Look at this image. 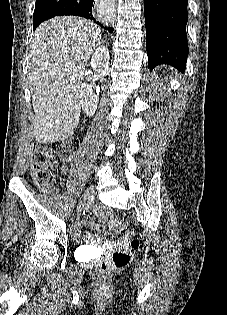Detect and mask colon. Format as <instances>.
<instances>
[{"mask_svg": "<svg viewBox=\"0 0 227 315\" xmlns=\"http://www.w3.org/2000/svg\"><path fill=\"white\" fill-rule=\"evenodd\" d=\"M79 146V139L71 136L48 144L36 143L32 152V177L36 186L45 188L51 174L57 168L71 160ZM111 226L115 233L122 234L130 240V249L115 252L110 259L103 260L97 271L101 276L110 274L115 269L127 266L133 257V252L139 247V240L127 223L120 218H112Z\"/></svg>", "mask_w": 227, "mask_h": 315, "instance_id": "obj_1", "label": "colon"}]
</instances>
